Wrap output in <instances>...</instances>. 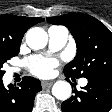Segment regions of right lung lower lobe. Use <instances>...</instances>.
Masks as SVG:
<instances>
[{"label": "right lung lower lobe", "mask_w": 112, "mask_h": 112, "mask_svg": "<svg viewBox=\"0 0 112 112\" xmlns=\"http://www.w3.org/2000/svg\"><path fill=\"white\" fill-rule=\"evenodd\" d=\"M41 90L40 81L32 77H24L20 88H5L0 79V112H31L35 95Z\"/></svg>", "instance_id": "right-lung-lower-lobe-1"}]
</instances>
